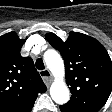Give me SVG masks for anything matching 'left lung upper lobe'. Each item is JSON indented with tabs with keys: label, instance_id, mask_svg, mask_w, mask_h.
I'll use <instances>...</instances> for the list:
<instances>
[{
	"label": "left lung upper lobe",
	"instance_id": "5c2ea615",
	"mask_svg": "<svg viewBox=\"0 0 112 112\" xmlns=\"http://www.w3.org/2000/svg\"><path fill=\"white\" fill-rule=\"evenodd\" d=\"M65 62L66 83L72 93L62 106L70 112H98L112 89V61L101 43L88 35L70 32L64 42L54 33L46 34Z\"/></svg>",
	"mask_w": 112,
	"mask_h": 112
}]
</instances>
